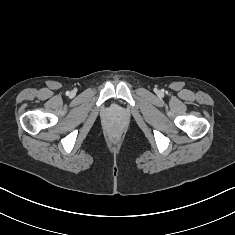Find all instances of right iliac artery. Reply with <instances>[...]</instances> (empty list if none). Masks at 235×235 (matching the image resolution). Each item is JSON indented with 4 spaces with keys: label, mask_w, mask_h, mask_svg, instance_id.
Here are the masks:
<instances>
[{
    "label": "right iliac artery",
    "mask_w": 235,
    "mask_h": 235,
    "mask_svg": "<svg viewBox=\"0 0 235 235\" xmlns=\"http://www.w3.org/2000/svg\"><path fill=\"white\" fill-rule=\"evenodd\" d=\"M69 94H70V92H69V91H67V92H66V95H69Z\"/></svg>",
    "instance_id": "right-iliac-artery-1"
}]
</instances>
